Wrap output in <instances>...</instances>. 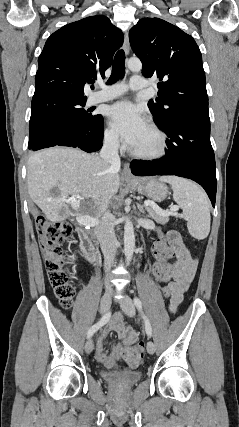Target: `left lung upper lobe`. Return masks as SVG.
<instances>
[{
	"mask_svg": "<svg viewBox=\"0 0 239 427\" xmlns=\"http://www.w3.org/2000/svg\"><path fill=\"white\" fill-rule=\"evenodd\" d=\"M129 39L142 61V74L160 80L158 98L148 102L156 125L177 116L210 120L202 56L194 39L159 18L139 20Z\"/></svg>",
	"mask_w": 239,
	"mask_h": 427,
	"instance_id": "1",
	"label": "left lung upper lobe"
}]
</instances>
